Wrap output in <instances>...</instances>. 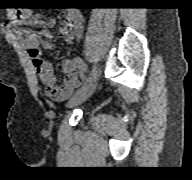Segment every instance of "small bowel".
Masks as SVG:
<instances>
[{"label":"small bowel","instance_id":"small-bowel-1","mask_svg":"<svg viewBox=\"0 0 192 180\" xmlns=\"http://www.w3.org/2000/svg\"><path fill=\"white\" fill-rule=\"evenodd\" d=\"M84 16L77 9L67 13V21L60 31V36L65 42L81 39L84 30ZM14 25L25 22L37 26L36 30H20L24 45L28 50L36 75L46 89V93L56 101H63L79 87L85 78V62L81 58L64 60L62 70L65 74L63 83L59 84L54 75L52 64L43 57L40 47L49 50L53 47L52 34L48 28L55 20L48 23L40 22L31 9H21L14 13Z\"/></svg>","mask_w":192,"mask_h":180}]
</instances>
